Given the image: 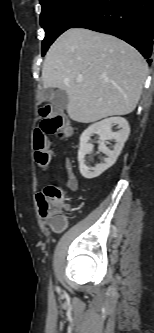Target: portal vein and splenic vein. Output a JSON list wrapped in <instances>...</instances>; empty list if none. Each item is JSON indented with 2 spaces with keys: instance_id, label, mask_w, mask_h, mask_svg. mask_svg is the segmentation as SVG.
Masks as SVG:
<instances>
[{
  "instance_id": "1",
  "label": "portal vein and splenic vein",
  "mask_w": 154,
  "mask_h": 333,
  "mask_svg": "<svg viewBox=\"0 0 154 333\" xmlns=\"http://www.w3.org/2000/svg\"><path fill=\"white\" fill-rule=\"evenodd\" d=\"M77 82H78V83H81V82H82V79H81V78H78V79H77Z\"/></svg>"
}]
</instances>
